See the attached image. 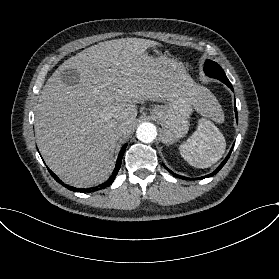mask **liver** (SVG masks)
Returning a JSON list of instances; mask_svg holds the SVG:
<instances>
[{
    "mask_svg": "<svg viewBox=\"0 0 279 279\" xmlns=\"http://www.w3.org/2000/svg\"><path fill=\"white\" fill-rule=\"evenodd\" d=\"M158 42L123 38L101 42L65 61L48 79L35 110L37 145L48 166L70 185L105 181L113 170L114 150L137 117V103H161L181 84L183 96L200 113L202 88L149 50ZM65 68L81 75L64 83ZM120 134L114 130L122 123Z\"/></svg>",
    "mask_w": 279,
    "mask_h": 279,
    "instance_id": "obj_1",
    "label": "liver"
}]
</instances>
